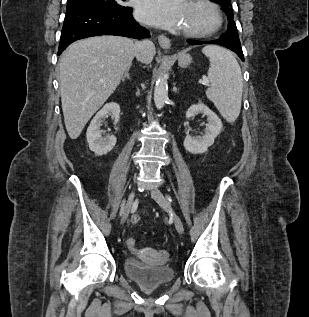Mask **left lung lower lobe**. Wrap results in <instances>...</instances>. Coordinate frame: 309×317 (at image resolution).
<instances>
[{
    "instance_id": "1",
    "label": "left lung lower lobe",
    "mask_w": 309,
    "mask_h": 317,
    "mask_svg": "<svg viewBox=\"0 0 309 317\" xmlns=\"http://www.w3.org/2000/svg\"><path fill=\"white\" fill-rule=\"evenodd\" d=\"M187 43L190 45L218 44L234 51L241 58V60L244 61V56H243L240 41H236L232 38H229L223 35L219 39L212 40V41H197V40L188 39Z\"/></svg>"
}]
</instances>
